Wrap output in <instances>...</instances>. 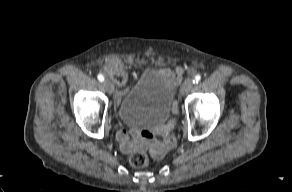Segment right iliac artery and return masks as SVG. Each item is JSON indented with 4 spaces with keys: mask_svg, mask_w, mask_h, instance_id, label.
Masks as SVG:
<instances>
[{
    "mask_svg": "<svg viewBox=\"0 0 292 192\" xmlns=\"http://www.w3.org/2000/svg\"><path fill=\"white\" fill-rule=\"evenodd\" d=\"M97 78L100 82L104 81V76L102 74H98Z\"/></svg>",
    "mask_w": 292,
    "mask_h": 192,
    "instance_id": "right-iliac-artery-1",
    "label": "right iliac artery"
}]
</instances>
